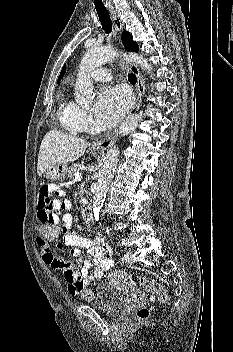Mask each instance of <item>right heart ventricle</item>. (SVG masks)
<instances>
[{
  "label": "right heart ventricle",
  "mask_w": 233,
  "mask_h": 352,
  "mask_svg": "<svg viewBox=\"0 0 233 352\" xmlns=\"http://www.w3.org/2000/svg\"><path fill=\"white\" fill-rule=\"evenodd\" d=\"M58 120L62 128L70 133L81 132L79 122V107L70 101H65L59 108Z\"/></svg>",
  "instance_id": "e07e8e85"
}]
</instances>
